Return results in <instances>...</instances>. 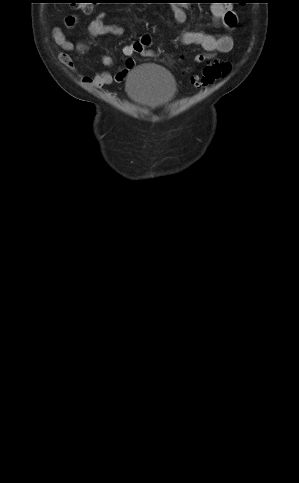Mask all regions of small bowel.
<instances>
[{
  "label": "small bowel",
  "instance_id": "c3829d8e",
  "mask_svg": "<svg viewBox=\"0 0 299 483\" xmlns=\"http://www.w3.org/2000/svg\"><path fill=\"white\" fill-rule=\"evenodd\" d=\"M222 2H216L211 7V13L213 18L222 24V26L228 30L232 31L235 29L237 24V16L234 12L229 11L225 8ZM171 11L173 13L174 20L182 24L186 21V14L183 8L179 5L171 6ZM106 14L99 13L90 23H89V33L92 37H100L104 35H114L121 36L124 34V28L118 24H106L105 23ZM77 23V17L75 15H68L65 18V24L67 27L72 28ZM52 37L56 46L61 48L58 57L60 61L68 68H74V63L69 55V52L74 50L79 53H83L87 48L88 44L82 43L75 46L72 42L67 39L66 34L59 27H55L52 31ZM181 40L184 44H196L200 45L205 51V54H197L195 56V61L197 63H204L210 59L213 55L219 53H229L233 49V38L229 34H222L219 36L207 34L200 31H185L182 34ZM152 44V38L150 35H143L138 41L126 44L122 48L123 54L127 57L124 66L118 69L115 74H111L108 71H100L94 75H83L80 80L83 84L92 87L100 88L102 86L108 85L112 82L121 83L127 77L130 69L135 65L134 56L136 54L150 55L148 48ZM101 63L104 66H112L114 60L111 56L105 55L101 58Z\"/></svg>",
  "mask_w": 299,
  "mask_h": 483
}]
</instances>
